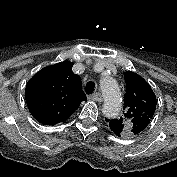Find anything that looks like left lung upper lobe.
I'll return each instance as SVG.
<instances>
[{
  "instance_id": "1",
  "label": "left lung upper lobe",
  "mask_w": 177,
  "mask_h": 177,
  "mask_svg": "<svg viewBox=\"0 0 177 177\" xmlns=\"http://www.w3.org/2000/svg\"><path fill=\"white\" fill-rule=\"evenodd\" d=\"M126 93L123 116L108 120L111 130L121 136H138L148 126L156 109V96L150 85L134 72H124Z\"/></svg>"
}]
</instances>
